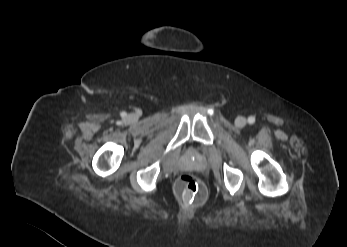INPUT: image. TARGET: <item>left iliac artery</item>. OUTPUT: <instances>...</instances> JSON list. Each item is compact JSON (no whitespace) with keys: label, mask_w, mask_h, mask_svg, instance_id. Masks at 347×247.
<instances>
[{"label":"left iliac artery","mask_w":347,"mask_h":247,"mask_svg":"<svg viewBox=\"0 0 347 247\" xmlns=\"http://www.w3.org/2000/svg\"><path fill=\"white\" fill-rule=\"evenodd\" d=\"M254 122H255V117H254V116H250V117L248 118V123H249V124H254Z\"/></svg>","instance_id":"1"}]
</instances>
